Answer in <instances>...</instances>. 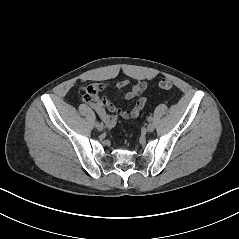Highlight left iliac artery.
I'll return each mask as SVG.
<instances>
[{"label": "left iliac artery", "instance_id": "left-iliac-artery-1", "mask_svg": "<svg viewBox=\"0 0 239 239\" xmlns=\"http://www.w3.org/2000/svg\"><path fill=\"white\" fill-rule=\"evenodd\" d=\"M147 120H148L149 122H151V121H152V117L149 116V117L147 118Z\"/></svg>", "mask_w": 239, "mask_h": 239}]
</instances>
